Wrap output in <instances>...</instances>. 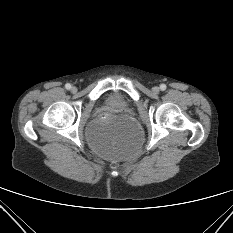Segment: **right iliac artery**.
Segmentation results:
<instances>
[{
	"instance_id": "1",
	"label": "right iliac artery",
	"mask_w": 233,
	"mask_h": 233,
	"mask_svg": "<svg viewBox=\"0 0 233 233\" xmlns=\"http://www.w3.org/2000/svg\"><path fill=\"white\" fill-rule=\"evenodd\" d=\"M65 88H66L67 90H70V89H71V84L67 83V84L65 85Z\"/></svg>"
}]
</instances>
